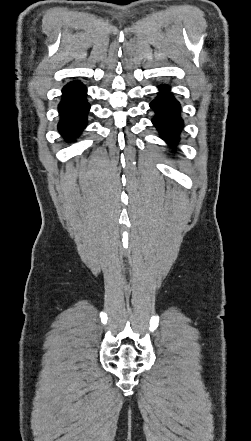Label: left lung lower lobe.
<instances>
[{
  "instance_id": "left-lung-lower-lobe-1",
  "label": "left lung lower lobe",
  "mask_w": 251,
  "mask_h": 441,
  "mask_svg": "<svg viewBox=\"0 0 251 441\" xmlns=\"http://www.w3.org/2000/svg\"><path fill=\"white\" fill-rule=\"evenodd\" d=\"M159 90L156 99L150 103V107L155 111L152 122L161 138L168 144L174 145L178 142L183 127L180 104L171 94L168 86H160Z\"/></svg>"
}]
</instances>
